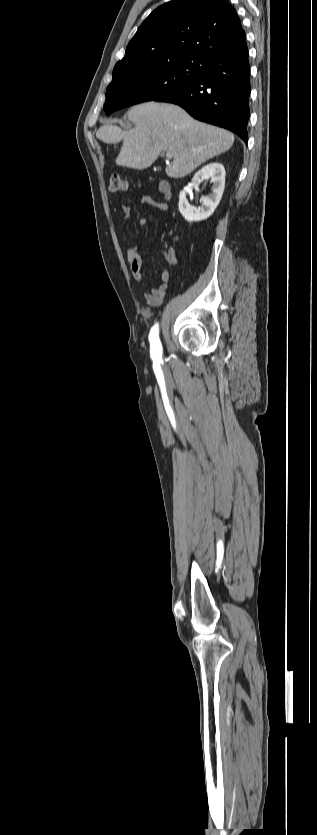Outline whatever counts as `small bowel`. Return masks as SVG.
<instances>
[{"mask_svg": "<svg viewBox=\"0 0 317 835\" xmlns=\"http://www.w3.org/2000/svg\"><path fill=\"white\" fill-rule=\"evenodd\" d=\"M157 191L160 193L164 200H169L171 198V190L169 185L166 182H160L157 184ZM142 204L149 205L155 207L162 211H168L169 206L165 202H157L151 196L144 195L141 199ZM124 212L126 218L130 217V208L124 207ZM148 225V220L146 218H141L138 221V226L140 228H145ZM165 260L168 266H175L178 263V256L174 249H168L165 252ZM127 262L132 271L133 277L135 281L143 285L144 278L141 273L142 267V255L141 250L133 246L128 249L127 251ZM170 281V271L168 268H165L161 274V281L157 287L151 288L148 292L145 293V299L147 304L150 307H157L160 306L166 296L168 283Z\"/></svg>", "mask_w": 317, "mask_h": 835, "instance_id": "obj_1", "label": "small bowel"}]
</instances>
